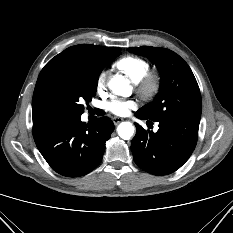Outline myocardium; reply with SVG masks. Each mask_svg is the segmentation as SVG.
<instances>
[{
  "label": "myocardium",
  "mask_w": 233,
  "mask_h": 233,
  "mask_svg": "<svg viewBox=\"0 0 233 233\" xmlns=\"http://www.w3.org/2000/svg\"><path fill=\"white\" fill-rule=\"evenodd\" d=\"M160 83H161V78L159 73L154 71H148L137 82H135V87L137 92L144 99H151L159 91Z\"/></svg>",
  "instance_id": "1"
}]
</instances>
